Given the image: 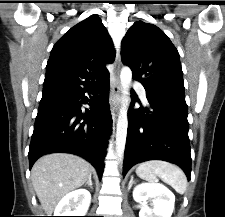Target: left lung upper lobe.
<instances>
[{"label":"left lung upper lobe","mask_w":225,"mask_h":217,"mask_svg":"<svg viewBox=\"0 0 225 217\" xmlns=\"http://www.w3.org/2000/svg\"><path fill=\"white\" fill-rule=\"evenodd\" d=\"M121 56L132 70V77L146 93L185 97L179 53L166 34L157 26L135 22L121 44Z\"/></svg>","instance_id":"obj_1"}]
</instances>
